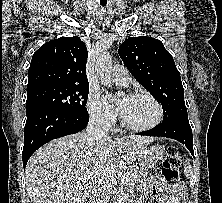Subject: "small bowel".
Masks as SVG:
<instances>
[{
	"instance_id": "small-bowel-1",
	"label": "small bowel",
	"mask_w": 222,
	"mask_h": 203,
	"mask_svg": "<svg viewBox=\"0 0 222 203\" xmlns=\"http://www.w3.org/2000/svg\"><path fill=\"white\" fill-rule=\"evenodd\" d=\"M148 192L162 203H183L185 197L181 185L165 183L159 176H152L149 179L148 185L140 190L139 197H144Z\"/></svg>"
}]
</instances>
